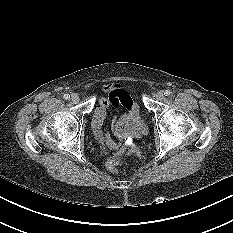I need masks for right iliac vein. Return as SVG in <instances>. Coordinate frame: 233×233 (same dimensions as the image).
<instances>
[{"label":"right iliac vein","instance_id":"63e3f726","mask_svg":"<svg viewBox=\"0 0 233 233\" xmlns=\"http://www.w3.org/2000/svg\"><path fill=\"white\" fill-rule=\"evenodd\" d=\"M70 100H71L72 102H74V103L79 102V100H80L79 95L76 94V93H72V94H71Z\"/></svg>","mask_w":233,"mask_h":233}]
</instances>
